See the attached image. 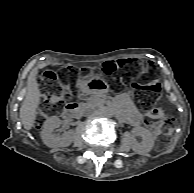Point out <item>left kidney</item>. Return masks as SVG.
<instances>
[{
	"label": "left kidney",
	"instance_id": "left-kidney-1",
	"mask_svg": "<svg viewBox=\"0 0 194 193\" xmlns=\"http://www.w3.org/2000/svg\"><path fill=\"white\" fill-rule=\"evenodd\" d=\"M133 133L142 137V142L138 143L137 141L133 142L132 149L139 153L143 154L149 152L155 143V135L149 130L143 127H137L133 130Z\"/></svg>",
	"mask_w": 194,
	"mask_h": 193
}]
</instances>
